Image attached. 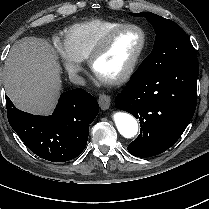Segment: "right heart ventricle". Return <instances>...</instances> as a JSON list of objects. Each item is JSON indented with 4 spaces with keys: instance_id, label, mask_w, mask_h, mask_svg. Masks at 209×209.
<instances>
[{
    "instance_id": "1",
    "label": "right heart ventricle",
    "mask_w": 209,
    "mask_h": 209,
    "mask_svg": "<svg viewBox=\"0 0 209 209\" xmlns=\"http://www.w3.org/2000/svg\"><path fill=\"white\" fill-rule=\"evenodd\" d=\"M120 21L93 18L70 25L63 30V42L79 61L87 59L101 37Z\"/></svg>"
}]
</instances>
